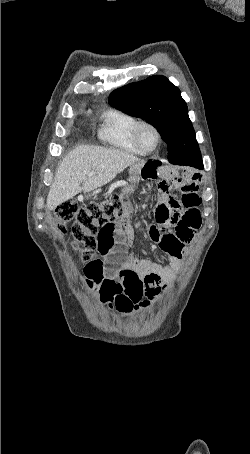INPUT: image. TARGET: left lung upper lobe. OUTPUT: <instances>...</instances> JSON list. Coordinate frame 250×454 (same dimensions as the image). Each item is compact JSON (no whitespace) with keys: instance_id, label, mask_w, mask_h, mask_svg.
<instances>
[{"instance_id":"1","label":"left lung upper lobe","mask_w":250,"mask_h":454,"mask_svg":"<svg viewBox=\"0 0 250 454\" xmlns=\"http://www.w3.org/2000/svg\"><path fill=\"white\" fill-rule=\"evenodd\" d=\"M109 104L152 124L168 145V159L193 154L201 157L188 109L180 90L160 75L114 90Z\"/></svg>"}]
</instances>
